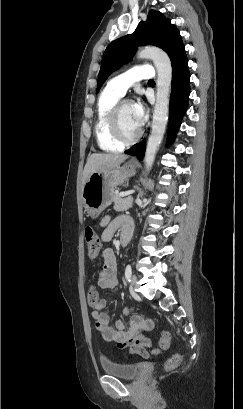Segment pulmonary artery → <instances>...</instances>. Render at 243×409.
<instances>
[{
    "label": "pulmonary artery",
    "instance_id": "pulmonary-artery-1",
    "mask_svg": "<svg viewBox=\"0 0 243 409\" xmlns=\"http://www.w3.org/2000/svg\"><path fill=\"white\" fill-rule=\"evenodd\" d=\"M154 76V71L149 67L144 65L136 66L109 80L107 88L122 97L136 82L144 79H151Z\"/></svg>",
    "mask_w": 243,
    "mask_h": 409
}]
</instances>
